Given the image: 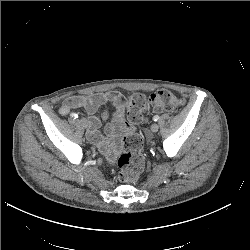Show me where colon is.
Segmentation results:
<instances>
[{
  "instance_id": "colon-1",
  "label": "colon",
  "mask_w": 250,
  "mask_h": 250,
  "mask_svg": "<svg viewBox=\"0 0 250 250\" xmlns=\"http://www.w3.org/2000/svg\"><path fill=\"white\" fill-rule=\"evenodd\" d=\"M148 103L157 110L172 113L180 108L183 100L167 89L155 91L148 99L142 94H135L129 99L125 120L127 132L123 136L122 154L118 159V178L124 183L137 182L144 169L143 139L134 127L146 120L145 110Z\"/></svg>"
}]
</instances>
